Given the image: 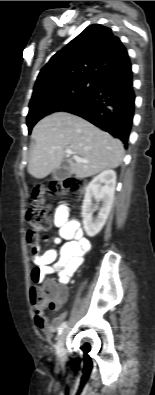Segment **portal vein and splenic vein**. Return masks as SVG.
<instances>
[{
  "label": "portal vein and splenic vein",
  "instance_id": "obj_1",
  "mask_svg": "<svg viewBox=\"0 0 155 395\" xmlns=\"http://www.w3.org/2000/svg\"><path fill=\"white\" fill-rule=\"evenodd\" d=\"M66 153H67L68 156L73 155V152H72L71 150H67ZM73 159H74L76 162H86V160H84V159H82V158H80V157H78V156H75V155L73 156Z\"/></svg>",
  "mask_w": 155,
  "mask_h": 395
}]
</instances>
